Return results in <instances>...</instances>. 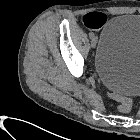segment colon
<instances>
[{"label":"colon","mask_w":140,"mask_h":140,"mask_svg":"<svg viewBox=\"0 0 140 140\" xmlns=\"http://www.w3.org/2000/svg\"><path fill=\"white\" fill-rule=\"evenodd\" d=\"M108 96L118 103V109L122 113H129L131 111L132 101L130 98L118 95L113 92H109Z\"/></svg>","instance_id":"obj_1"}]
</instances>
